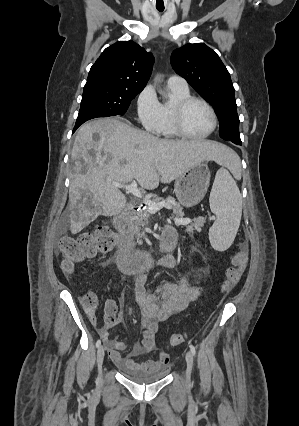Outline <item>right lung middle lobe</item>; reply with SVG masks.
<instances>
[{
  "label": "right lung middle lobe",
  "mask_w": 299,
  "mask_h": 426,
  "mask_svg": "<svg viewBox=\"0 0 299 426\" xmlns=\"http://www.w3.org/2000/svg\"><path fill=\"white\" fill-rule=\"evenodd\" d=\"M142 90H130L105 84L85 85L79 115L100 111L110 115H124L130 102Z\"/></svg>",
  "instance_id": "dd1d6c3e"
}]
</instances>
